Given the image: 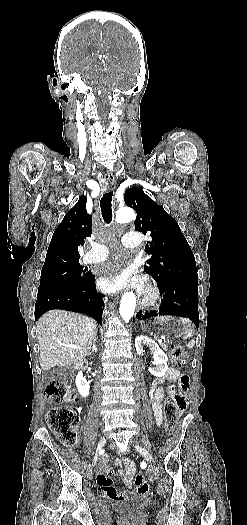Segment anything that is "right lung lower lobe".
Segmentation results:
<instances>
[{
    "instance_id": "98d812e1",
    "label": "right lung lower lobe",
    "mask_w": 247,
    "mask_h": 525,
    "mask_svg": "<svg viewBox=\"0 0 247 525\" xmlns=\"http://www.w3.org/2000/svg\"><path fill=\"white\" fill-rule=\"evenodd\" d=\"M64 309L87 314L102 323V295L97 292L91 275L79 285L55 287L38 293L35 320L48 310Z\"/></svg>"
}]
</instances>
